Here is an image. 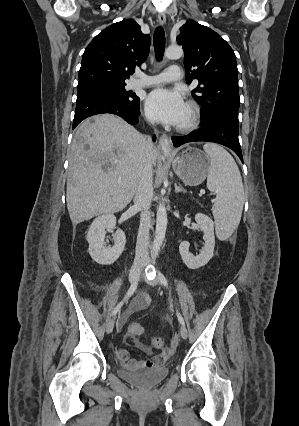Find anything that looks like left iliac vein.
Instances as JSON below:
<instances>
[{"instance_id":"4c4485c4","label":"left iliac vein","mask_w":299,"mask_h":426,"mask_svg":"<svg viewBox=\"0 0 299 426\" xmlns=\"http://www.w3.org/2000/svg\"><path fill=\"white\" fill-rule=\"evenodd\" d=\"M152 266H149L148 267V269L150 270V271H152ZM152 276H153V278L152 279H148L147 278V276H145V275H143V278L145 279V281L148 283V284H150V285H152V286H156V285H158V283H159V277H157L156 275H154L153 273H152ZM180 335H181V337L183 338V339H186L187 338V336H188V331H187V329H186V327L184 326V325H182L181 327H180Z\"/></svg>"}]
</instances>
